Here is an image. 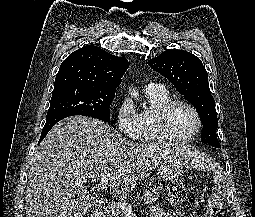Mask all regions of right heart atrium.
<instances>
[{
	"mask_svg": "<svg viewBox=\"0 0 255 217\" xmlns=\"http://www.w3.org/2000/svg\"><path fill=\"white\" fill-rule=\"evenodd\" d=\"M116 124L121 134L128 138H137L139 133L138 113L129 98L120 101L116 109Z\"/></svg>",
	"mask_w": 255,
	"mask_h": 217,
	"instance_id": "d8ad5b80",
	"label": "right heart atrium"
}]
</instances>
